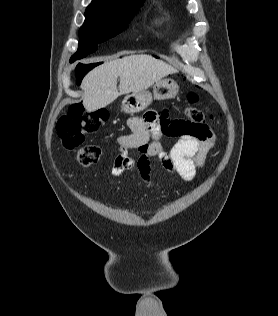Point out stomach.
<instances>
[{
    "label": "stomach",
    "instance_id": "stomach-1",
    "mask_svg": "<svg viewBox=\"0 0 278 316\" xmlns=\"http://www.w3.org/2000/svg\"><path fill=\"white\" fill-rule=\"evenodd\" d=\"M178 84L172 79H160L153 85V93L143 90L131 93L124 97L122 110L133 114L146 109L155 100H166L174 98L178 93Z\"/></svg>",
    "mask_w": 278,
    "mask_h": 316
}]
</instances>
